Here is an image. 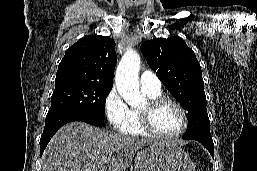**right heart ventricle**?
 Masks as SVG:
<instances>
[{"instance_id": "obj_1", "label": "right heart ventricle", "mask_w": 257, "mask_h": 171, "mask_svg": "<svg viewBox=\"0 0 257 171\" xmlns=\"http://www.w3.org/2000/svg\"><path fill=\"white\" fill-rule=\"evenodd\" d=\"M143 94L148 98V99H153L161 96V91L153 92V91H148V90H143ZM123 133L127 135H132V136H146L147 133L144 132V130L141 127L140 123V116H139V111L138 110H131V116H130V121L127 126V128L123 131Z\"/></svg>"}]
</instances>
